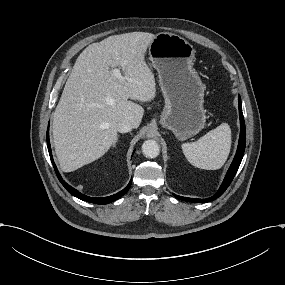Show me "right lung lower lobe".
<instances>
[{"label":"right lung lower lobe","instance_id":"obj_1","mask_svg":"<svg viewBox=\"0 0 285 285\" xmlns=\"http://www.w3.org/2000/svg\"><path fill=\"white\" fill-rule=\"evenodd\" d=\"M47 146H48V151H49V154H50V158H51V161H52V164H53V167L55 169V172L57 174V177L59 179V181L62 183V185L66 188V190L72 194L73 196L81 199V200H84V201H87V202H91V203H95V204H108V203H111L115 200H117L118 198H120L121 196H123L127 191L128 189L130 188L131 186V182L132 180L129 182V184L120 192L114 194V195H111V196H108V197H102V198H94V197H89V196H86L82 193H80L79 191H77L76 189H74L73 187H71L70 185H68L61 177V175L59 174L56 166H55V163L53 161V157H52V153H51V147H50V141H49V127L47 129Z\"/></svg>","mask_w":285,"mask_h":285}]
</instances>
